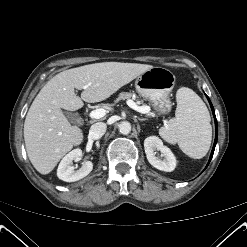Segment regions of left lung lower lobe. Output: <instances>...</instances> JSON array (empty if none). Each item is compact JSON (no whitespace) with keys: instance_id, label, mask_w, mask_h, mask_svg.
Segmentation results:
<instances>
[{"instance_id":"obj_1","label":"left lung lower lobe","mask_w":247,"mask_h":247,"mask_svg":"<svg viewBox=\"0 0 247 247\" xmlns=\"http://www.w3.org/2000/svg\"><path fill=\"white\" fill-rule=\"evenodd\" d=\"M207 98H208V97H207ZM208 101H209L210 106H211V108H212L213 115L215 116L214 108H213V106H212L211 101H210L209 98H208ZM215 127H216L215 142H214V145H213V149H212V152H211V155H210L209 162L211 161V158H212V156H213V153H214V150H215V145H216V142H217V137H218V126H217V121H216V120H215ZM209 162H208V164H209ZM208 164H207V165H208Z\"/></svg>"}]
</instances>
